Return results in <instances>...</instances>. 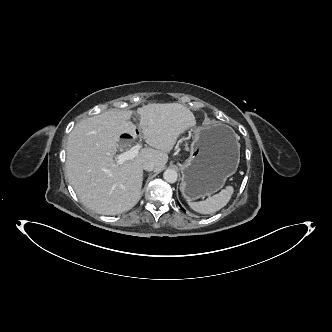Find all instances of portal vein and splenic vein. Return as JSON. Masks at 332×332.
I'll use <instances>...</instances> for the list:
<instances>
[{
    "mask_svg": "<svg viewBox=\"0 0 332 332\" xmlns=\"http://www.w3.org/2000/svg\"><path fill=\"white\" fill-rule=\"evenodd\" d=\"M142 144H136L133 147H131L128 151H125L123 153L117 154L115 156V159L118 164H123L127 160H131L137 156L139 153V150L141 149Z\"/></svg>",
    "mask_w": 332,
    "mask_h": 332,
    "instance_id": "portal-vein-and-splenic-vein-1",
    "label": "portal vein and splenic vein"
}]
</instances>
